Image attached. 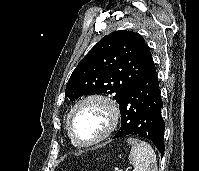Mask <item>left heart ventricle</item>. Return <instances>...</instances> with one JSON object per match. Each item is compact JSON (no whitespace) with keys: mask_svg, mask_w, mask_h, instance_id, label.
<instances>
[{"mask_svg":"<svg viewBox=\"0 0 199 171\" xmlns=\"http://www.w3.org/2000/svg\"><path fill=\"white\" fill-rule=\"evenodd\" d=\"M108 123L107 112L97 103L80 106L71 120L74 134L84 142L99 137L107 128Z\"/></svg>","mask_w":199,"mask_h":171,"instance_id":"obj_1","label":"left heart ventricle"}]
</instances>
